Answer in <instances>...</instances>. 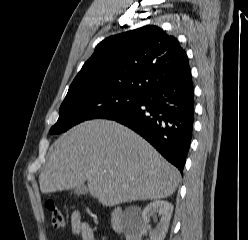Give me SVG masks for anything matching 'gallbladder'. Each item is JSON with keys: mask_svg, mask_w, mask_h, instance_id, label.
I'll list each match as a JSON object with an SVG mask.
<instances>
[{"mask_svg": "<svg viewBox=\"0 0 248 240\" xmlns=\"http://www.w3.org/2000/svg\"><path fill=\"white\" fill-rule=\"evenodd\" d=\"M73 192L77 196L84 195L88 192V188L86 187V185L82 184L80 186L75 187Z\"/></svg>", "mask_w": 248, "mask_h": 240, "instance_id": "gallbladder-1", "label": "gallbladder"}]
</instances>
